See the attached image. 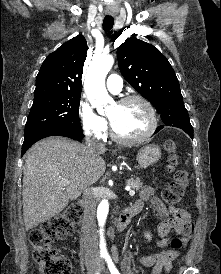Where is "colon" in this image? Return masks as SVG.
Masks as SVG:
<instances>
[{"label": "colon", "instance_id": "5ec220e1", "mask_svg": "<svg viewBox=\"0 0 221 274\" xmlns=\"http://www.w3.org/2000/svg\"><path fill=\"white\" fill-rule=\"evenodd\" d=\"M167 154V170L172 174V182L163 191V200L168 204L179 202L185 195L188 174L178 167L179 153L173 140L164 143ZM81 206L71 204L61 214L42 223L39 227L31 230L29 241L33 246V259L38 265L40 274H70L71 264L67 257L58 255L53 243L59 239L70 236L81 218ZM192 223L185 226V234L192 231ZM172 249L177 250L182 246L179 237L171 239Z\"/></svg>", "mask_w": 221, "mask_h": 274}]
</instances>
